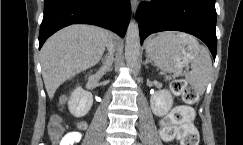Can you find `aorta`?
Masks as SVG:
<instances>
[{"label":"aorta","mask_w":243,"mask_h":145,"mask_svg":"<svg viewBox=\"0 0 243 145\" xmlns=\"http://www.w3.org/2000/svg\"><path fill=\"white\" fill-rule=\"evenodd\" d=\"M140 55V36L137 22L130 21L125 44V59L129 67L137 64Z\"/></svg>","instance_id":"aorta-1"}]
</instances>
